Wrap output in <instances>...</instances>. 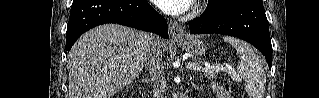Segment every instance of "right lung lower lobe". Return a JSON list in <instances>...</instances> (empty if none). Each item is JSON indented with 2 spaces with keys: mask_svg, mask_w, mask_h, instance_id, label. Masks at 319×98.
Segmentation results:
<instances>
[{
  "mask_svg": "<svg viewBox=\"0 0 319 98\" xmlns=\"http://www.w3.org/2000/svg\"><path fill=\"white\" fill-rule=\"evenodd\" d=\"M117 23L169 38L166 20L146 0H73L66 32V51L87 30Z\"/></svg>",
  "mask_w": 319,
  "mask_h": 98,
  "instance_id": "98d812e1",
  "label": "right lung lower lobe"
}]
</instances>
